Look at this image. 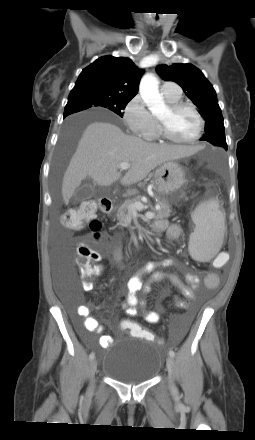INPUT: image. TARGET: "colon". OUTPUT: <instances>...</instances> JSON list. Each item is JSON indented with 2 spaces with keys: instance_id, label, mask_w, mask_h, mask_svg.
I'll return each instance as SVG.
<instances>
[{
  "instance_id": "obj_1",
  "label": "colon",
  "mask_w": 255,
  "mask_h": 440,
  "mask_svg": "<svg viewBox=\"0 0 255 440\" xmlns=\"http://www.w3.org/2000/svg\"><path fill=\"white\" fill-rule=\"evenodd\" d=\"M61 221L64 226L71 229L89 228L95 240L101 239L99 234L101 223L96 217V204L92 201H85L79 206L67 210L62 215ZM77 252L82 259L83 277L89 279L97 276L101 272V267L97 264L100 259L99 253L84 243L79 244ZM214 275L216 274L211 273L206 278V282ZM175 304L180 311H187L189 309L190 299L176 298ZM121 325L124 330L128 331L134 337L155 342L157 345H162L165 342L164 339H158L152 332L131 319H124Z\"/></svg>"
}]
</instances>
